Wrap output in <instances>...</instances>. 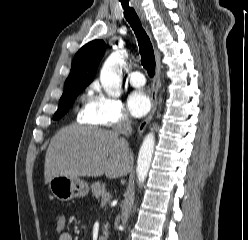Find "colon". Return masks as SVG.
Returning <instances> with one entry per match:
<instances>
[{
	"label": "colon",
	"mask_w": 248,
	"mask_h": 240,
	"mask_svg": "<svg viewBox=\"0 0 248 240\" xmlns=\"http://www.w3.org/2000/svg\"><path fill=\"white\" fill-rule=\"evenodd\" d=\"M53 224L56 232L60 234L65 232L66 220L63 214H57L53 219Z\"/></svg>",
	"instance_id": "1"
}]
</instances>
